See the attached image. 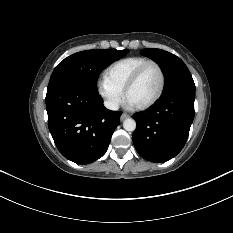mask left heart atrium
I'll return each mask as SVG.
<instances>
[{
	"label": "left heart atrium",
	"instance_id": "obj_1",
	"mask_svg": "<svg viewBox=\"0 0 233 233\" xmlns=\"http://www.w3.org/2000/svg\"><path fill=\"white\" fill-rule=\"evenodd\" d=\"M127 105L130 106V107L134 106L129 100H127Z\"/></svg>",
	"mask_w": 233,
	"mask_h": 233
}]
</instances>
